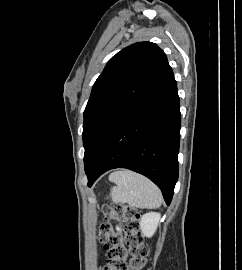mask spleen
Wrapping results in <instances>:
<instances>
[{"instance_id":"1","label":"spleen","mask_w":242,"mask_h":270,"mask_svg":"<svg viewBox=\"0 0 242 270\" xmlns=\"http://www.w3.org/2000/svg\"><path fill=\"white\" fill-rule=\"evenodd\" d=\"M116 187L111 189L114 203H128L136 208H157L162 204L160 189L146 177L124 170L115 173Z\"/></svg>"}]
</instances>
